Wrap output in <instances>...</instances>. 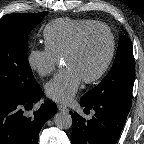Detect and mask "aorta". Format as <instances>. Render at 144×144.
<instances>
[{"instance_id":"1","label":"aorta","mask_w":144,"mask_h":144,"mask_svg":"<svg viewBox=\"0 0 144 144\" xmlns=\"http://www.w3.org/2000/svg\"><path fill=\"white\" fill-rule=\"evenodd\" d=\"M54 123L59 129H69L72 126V117L68 112H59L54 117Z\"/></svg>"}]
</instances>
